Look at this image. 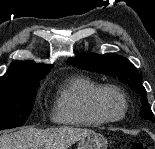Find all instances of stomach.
Wrapping results in <instances>:
<instances>
[{
    "label": "stomach",
    "instance_id": "obj_1",
    "mask_svg": "<svg viewBox=\"0 0 155 149\" xmlns=\"http://www.w3.org/2000/svg\"><path fill=\"white\" fill-rule=\"evenodd\" d=\"M107 139L99 133H90L79 140L77 149H107Z\"/></svg>",
    "mask_w": 155,
    "mask_h": 149
}]
</instances>
